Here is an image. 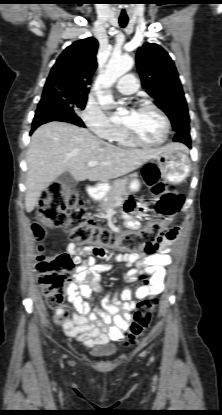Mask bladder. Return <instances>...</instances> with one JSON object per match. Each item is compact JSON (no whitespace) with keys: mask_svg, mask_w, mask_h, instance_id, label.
Returning a JSON list of instances; mask_svg holds the SVG:
<instances>
[{"mask_svg":"<svg viewBox=\"0 0 222 415\" xmlns=\"http://www.w3.org/2000/svg\"><path fill=\"white\" fill-rule=\"evenodd\" d=\"M90 353L97 357H113L118 353V348L114 345H105L93 348Z\"/></svg>","mask_w":222,"mask_h":415,"instance_id":"obj_1","label":"bladder"}]
</instances>
